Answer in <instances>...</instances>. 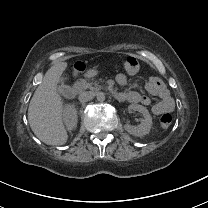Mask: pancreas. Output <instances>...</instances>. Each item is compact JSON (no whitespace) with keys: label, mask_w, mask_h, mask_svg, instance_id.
I'll use <instances>...</instances> for the list:
<instances>
[{"label":"pancreas","mask_w":208,"mask_h":208,"mask_svg":"<svg viewBox=\"0 0 208 208\" xmlns=\"http://www.w3.org/2000/svg\"><path fill=\"white\" fill-rule=\"evenodd\" d=\"M84 88L85 89H89V90H91L93 92L100 91L101 89H106L105 86L98 85V82L97 81L90 82V83H84Z\"/></svg>","instance_id":"pancreas-1"}]
</instances>
